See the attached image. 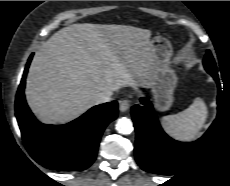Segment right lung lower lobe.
I'll return each instance as SVG.
<instances>
[{"label":"right lung lower lobe","instance_id":"obj_1","mask_svg":"<svg viewBox=\"0 0 230 186\" xmlns=\"http://www.w3.org/2000/svg\"><path fill=\"white\" fill-rule=\"evenodd\" d=\"M33 54L18 87L15 111L24 145L40 165L57 171L88 168L95 160L105 127L117 118L116 101L97 105L65 125L40 123L30 111L24 95L25 79Z\"/></svg>","mask_w":230,"mask_h":186}]
</instances>
